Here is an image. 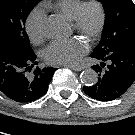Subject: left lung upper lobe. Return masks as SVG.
Here are the masks:
<instances>
[{
    "label": "left lung upper lobe",
    "instance_id": "obj_1",
    "mask_svg": "<svg viewBox=\"0 0 135 135\" xmlns=\"http://www.w3.org/2000/svg\"><path fill=\"white\" fill-rule=\"evenodd\" d=\"M106 11L101 41L93 53L106 54L121 45L135 44V4L131 0H98Z\"/></svg>",
    "mask_w": 135,
    "mask_h": 135
}]
</instances>
